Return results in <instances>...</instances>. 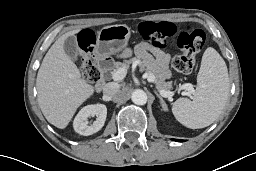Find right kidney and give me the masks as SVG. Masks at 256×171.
I'll return each instance as SVG.
<instances>
[{
	"label": "right kidney",
	"instance_id": "obj_1",
	"mask_svg": "<svg viewBox=\"0 0 256 171\" xmlns=\"http://www.w3.org/2000/svg\"><path fill=\"white\" fill-rule=\"evenodd\" d=\"M90 116H96L93 124L88 125L87 119ZM107 108L104 104H94L83 107L74 119V130L83 136L92 135L98 132L105 123Z\"/></svg>",
	"mask_w": 256,
	"mask_h": 171
}]
</instances>
